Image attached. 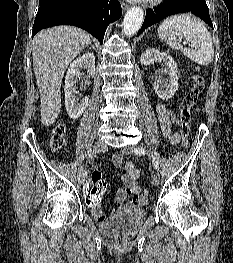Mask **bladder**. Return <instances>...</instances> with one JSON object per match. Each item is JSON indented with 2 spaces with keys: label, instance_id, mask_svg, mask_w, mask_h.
<instances>
[{
  "label": "bladder",
  "instance_id": "1",
  "mask_svg": "<svg viewBox=\"0 0 233 263\" xmlns=\"http://www.w3.org/2000/svg\"><path fill=\"white\" fill-rule=\"evenodd\" d=\"M146 217L147 213L140 208H120L99 223V230L109 237L128 238L139 230Z\"/></svg>",
  "mask_w": 233,
  "mask_h": 263
}]
</instances>
